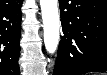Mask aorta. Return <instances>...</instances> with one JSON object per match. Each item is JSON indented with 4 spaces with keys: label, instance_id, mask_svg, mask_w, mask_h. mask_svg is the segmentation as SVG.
Returning a JSON list of instances; mask_svg holds the SVG:
<instances>
[{
    "label": "aorta",
    "instance_id": "762f6f07",
    "mask_svg": "<svg viewBox=\"0 0 107 75\" xmlns=\"http://www.w3.org/2000/svg\"><path fill=\"white\" fill-rule=\"evenodd\" d=\"M46 51L53 54L60 39V17L58 0H40Z\"/></svg>",
    "mask_w": 107,
    "mask_h": 75
}]
</instances>
